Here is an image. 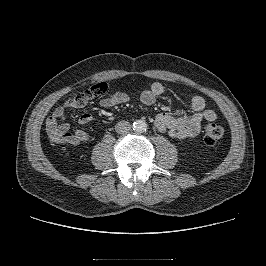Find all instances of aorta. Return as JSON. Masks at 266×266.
Instances as JSON below:
<instances>
[{
    "mask_svg": "<svg viewBox=\"0 0 266 266\" xmlns=\"http://www.w3.org/2000/svg\"><path fill=\"white\" fill-rule=\"evenodd\" d=\"M147 129V123L144 120H136L133 123V130L138 133H142L146 131Z\"/></svg>",
    "mask_w": 266,
    "mask_h": 266,
    "instance_id": "762f6f07",
    "label": "aorta"
}]
</instances>
